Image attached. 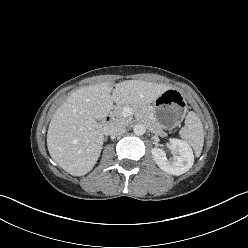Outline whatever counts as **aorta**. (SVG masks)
<instances>
[{"mask_svg":"<svg viewBox=\"0 0 248 248\" xmlns=\"http://www.w3.org/2000/svg\"><path fill=\"white\" fill-rule=\"evenodd\" d=\"M135 135L141 136L146 132V126L144 124H136L133 128Z\"/></svg>","mask_w":248,"mask_h":248,"instance_id":"aorta-1","label":"aorta"}]
</instances>
